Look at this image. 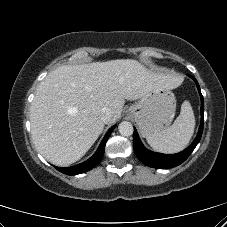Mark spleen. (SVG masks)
<instances>
[{"mask_svg":"<svg viewBox=\"0 0 227 227\" xmlns=\"http://www.w3.org/2000/svg\"><path fill=\"white\" fill-rule=\"evenodd\" d=\"M195 128L193 109L188 101L181 106L180 115L167 129L146 137L148 144L162 153H176L189 143Z\"/></svg>","mask_w":227,"mask_h":227,"instance_id":"spleen-1","label":"spleen"}]
</instances>
